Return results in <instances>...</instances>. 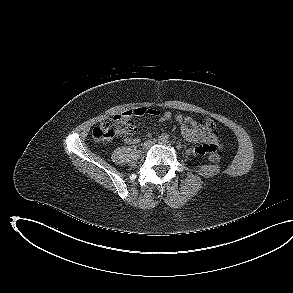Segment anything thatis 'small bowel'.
<instances>
[{"label": "small bowel", "instance_id": "obj_1", "mask_svg": "<svg viewBox=\"0 0 293 293\" xmlns=\"http://www.w3.org/2000/svg\"><path fill=\"white\" fill-rule=\"evenodd\" d=\"M145 114L159 116L161 122L169 121L172 118V114L169 111L160 114L155 109H147L145 107H139L123 113L127 118L132 116H142ZM174 119L180 124L182 136L187 141L198 144V146L194 148L195 153L200 154L198 152L200 147H206L209 152H215L220 148V140L216 132L215 124L211 119H207L202 124H199L191 117L183 116L181 114L175 115ZM124 141L127 144L136 145L140 140L137 137H126Z\"/></svg>", "mask_w": 293, "mask_h": 293}]
</instances>
